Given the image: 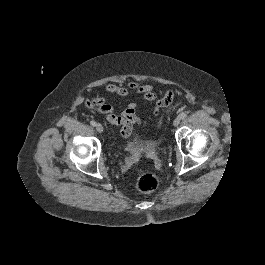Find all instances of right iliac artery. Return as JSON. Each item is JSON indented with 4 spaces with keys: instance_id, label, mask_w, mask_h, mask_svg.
<instances>
[{
    "instance_id": "82829eb1",
    "label": "right iliac artery",
    "mask_w": 265,
    "mask_h": 265,
    "mask_svg": "<svg viewBox=\"0 0 265 265\" xmlns=\"http://www.w3.org/2000/svg\"><path fill=\"white\" fill-rule=\"evenodd\" d=\"M90 124H91L92 126H96V122H95L94 120L90 121Z\"/></svg>"
}]
</instances>
